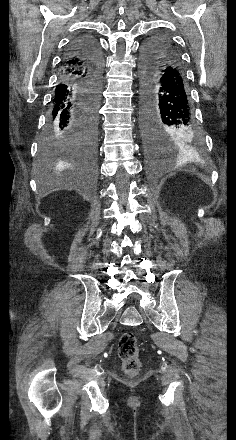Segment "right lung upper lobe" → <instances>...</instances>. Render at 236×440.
<instances>
[{"mask_svg": "<svg viewBox=\"0 0 236 440\" xmlns=\"http://www.w3.org/2000/svg\"><path fill=\"white\" fill-rule=\"evenodd\" d=\"M74 64L75 63H71L70 65H67L68 66V69H66V71H65V73H63V68L61 69V75H60V77L61 76H69V75H72L73 77H80V76H82V74H83V68L81 67L82 66V64L81 65H79V67L77 68V69H72V67L74 66Z\"/></svg>", "mask_w": 236, "mask_h": 440, "instance_id": "right-lung-upper-lobe-1", "label": "right lung upper lobe"}]
</instances>
